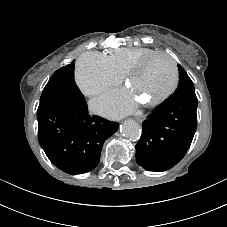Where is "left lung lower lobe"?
<instances>
[{"instance_id": "1", "label": "left lung lower lobe", "mask_w": 227, "mask_h": 227, "mask_svg": "<svg viewBox=\"0 0 227 227\" xmlns=\"http://www.w3.org/2000/svg\"><path fill=\"white\" fill-rule=\"evenodd\" d=\"M196 96L169 97L142 123L136 162L149 171H166L186 154L197 128Z\"/></svg>"}]
</instances>
